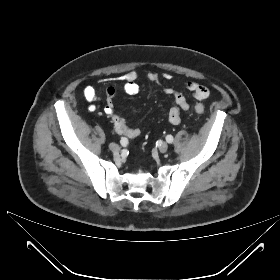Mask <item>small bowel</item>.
Masks as SVG:
<instances>
[{
    "instance_id": "1",
    "label": "small bowel",
    "mask_w": 280,
    "mask_h": 280,
    "mask_svg": "<svg viewBox=\"0 0 280 280\" xmlns=\"http://www.w3.org/2000/svg\"><path fill=\"white\" fill-rule=\"evenodd\" d=\"M147 80L158 85L162 86L163 81H168L171 79V75L168 73L158 74L156 72H150L147 74ZM138 74L135 71H130L124 73L118 77V80L123 83V90L128 95L137 94L139 91V85L137 83ZM185 87L192 93L195 99L204 100L209 96V90L206 86L195 82V81H186ZM162 91L165 95L172 96L174 98L175 105L172 106L169 110L168 118L172 124H179L181 121V112L184 114L189 113L190 104L188 103L185 96L175 91L171 87H162ZM116 90L114 87L109 86L105 90V99L106 104L103 107L104 113L111 119L115 131L120 135L127 138H135L140 134L138 128L130 127L126 124L122 116L115 113L113 107V99L115 97ZM84 98L91 103L98 102L101 98L97 94L96 89L87 85L83 88ZM90 109L93 111L96 109L95 106H91Z\"/></svg>"
}]
</instances>
